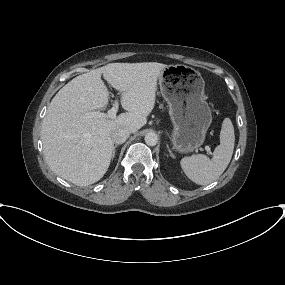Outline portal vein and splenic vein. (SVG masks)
I'll return each instance as SVG.
<instances>
[{
    "label": "portal vein and splenic vein",
    "instance_id": "obj_1",
    "mask_svg": "<svg viewBox=\"0 0 285 285\" xmlns=\"http://www.w3.org/2000/svg\"><path fill=\"white\" fill-rule=\"evenodd\" d=\"M118 110V102L115 101V103L113 104V107L108 110L107 113H102L99 111H92V112H88L84 115L85 118H109V119H114L116 117V113ZM206 151L208 154L211 153L210 148L207 146L206 147Z\"/></svg>",
    "mask_w": 285,
    "mask_h": 285
}]
</instances>
